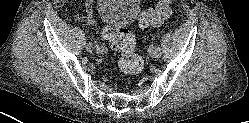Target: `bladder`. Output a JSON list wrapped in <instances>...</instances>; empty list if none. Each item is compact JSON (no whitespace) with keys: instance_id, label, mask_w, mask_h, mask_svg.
<instances>
[{"instance_id":"obj_1","label":"bladder","mask_w":249,"mask_h":123,"mask_svg":"<svg viewBox=\"0 0 249 123\" xmlns=\"http://www.w3.org/2000/svg\"><path fill=\"white\" fill-rule=\"evenodd\" d=\"M140 0H98L99 17L106 24L127 25L139 13Z\"/></svg>"}]
</instances>
